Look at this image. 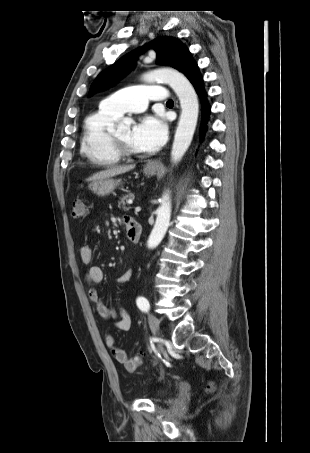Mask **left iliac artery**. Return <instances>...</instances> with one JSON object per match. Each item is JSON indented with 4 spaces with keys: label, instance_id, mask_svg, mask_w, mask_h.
<instances>
[{
    "label": "left iliac artery",
    "instance_id": "obj_1",
    "mask_svg": "<svg viewBox=\"0 0 310 453\" xmlns=\"http://www.w3.org/2000/svg\"><path fill=\"white\" fill-rule=\"evenodd\" d=\"M137 306L143 312H148L150 308L149 301L145 297H138L136 300Z\"/></svg>",
    "mask_w": 310,
    "mask_h": 453
}]
</instances>
